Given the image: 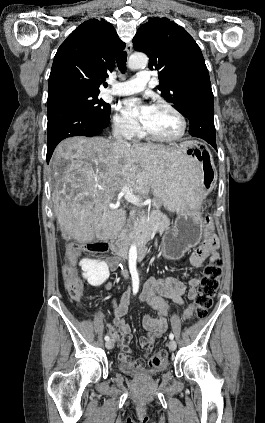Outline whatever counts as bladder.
Segmentation results:
<instances>
[{
	"label": "bladder",
	"mask_w": 265,
	"mask_h": 423,
	"mask_svg": "<svg viewBox=\"0 0 265 423\" xmlns=\"http://www.w3.org/2000/svg\"><path fill=\"white\" fill-rule=\"evenodd\" d=\"M118 368L124 373L135 375V376H141V377L154 376L159 374L161 371L165 369V367L145 368V367L127 365L123 363L121 360L118 363Z\"/></svg>",
	"instance_id": "1"
}]
</instances>
